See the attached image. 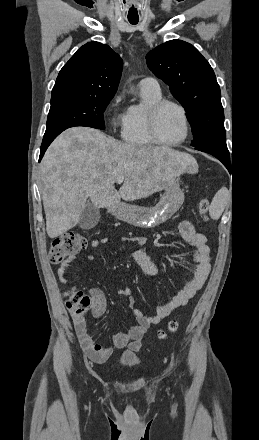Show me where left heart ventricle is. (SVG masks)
I'll return each instance as SVG.
<instances>
[{
  "mask_svg": "<svg viewBox=\"0 0 259 440\" xmlns=\"http://www.w3.org/2000/svg\"><path fill=\"white\" fill-rule=\"evenodd\" d=\"M185 127L180 111L172 105L166 106L158 119V134L165 142H175L184 135Z\"/></svg>",
  "mask_w": 259,
  "mask_h": 440,
  "instance_id": "b2bd125f",
  "label": "left heart ventricle"
}]
</instances>
